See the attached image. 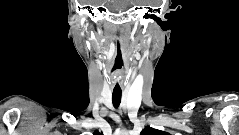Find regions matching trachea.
<instances>
[{
    "label": "trachea",
    "mask_w": 239,
    "mask_h": 135,
    "mask_svg": "<svg viewBox=\"0 0 239 135\" xmlns=\"http://www.w3.org/2000/svg\"><path fill=\"white\" fill-rule=\"evenodd\" d=\"M112 102L115 108H118L121 102V93H113L112 94Z\"/></svg>",
    "instance_id": "trachea-1"
}]
</instances>
